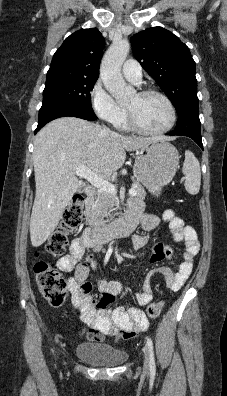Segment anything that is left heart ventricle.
I'll return each instance as SVG.
<instances>
[{
	"label": "left heart ventricle",
	"instance_id": "b2bd125f",
	"mask_svg": "<svg viewBox=\"0 0 227 396\" xmlns=\"http://www.w3.org/2000/svg\"><path fill=\"white\" fill-rule=\"evenodd\" d=\"M126 107L133 112L138 123L148 130H159L165 127L170 119L166 103L156 95L135 94Z\"/></svg>",
	"mask_w": 227,
	"mask_h": 396
}]
</instances>
